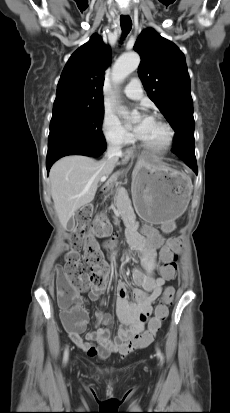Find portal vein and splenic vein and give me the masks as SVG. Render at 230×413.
<instances>
[{
    "label": "portal vein and splenic vein",
    "instance_id": "obj_1",
    "mask_svg": "<svg viewBox=\"0 0 230 413\" xmlns=\"http://www.w3.org/2000/svg\"><path fill=\"white\" fill-rule=\"evenodd\" d=\"M106 179H107V176H103V177L100 178V181L104 182V181H106Z\"/></svg>",
    "mask_w": 230,
    "mask_h": 413
}]
</instances>
